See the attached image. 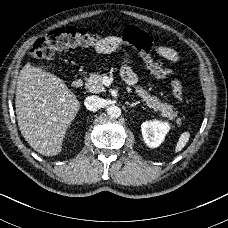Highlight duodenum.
Returning a JSON list of instances; mask_svg holds the SVG:
<instances>
[{"instance_id":"410a0bca","label":"duodenum","mask_w":228,"mask_h":228,"mask_svg":"<svg viewBox=\"0 0 228 228\" xmlns=\"http://www.w3.org/2000/svg\"><path fill=\"white\" fill-rule=\"evenodd\" d=\"M82 85H83V80L80 77H77L72 81V87L75 89L81 88Z\"/></svg>"}]
</instances>
